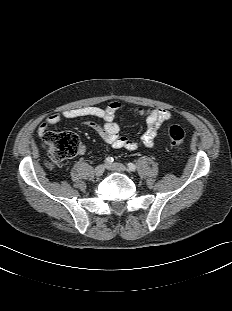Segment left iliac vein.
<instances>
[{
	"label": "left iliac vein",
	"mask_w": 232,
	"mask_h": 311,
	"mask_svg": "<svg viewBox=\"0 0 232 311\" xmlns=\"http://www.w3.org/2000/svg\"><path fill=\"white\" fill-rule=\"evenodd\" d=\"M107 169L115 172H124L127 170L126 166L121 163H113L110 165H107Z\"/></svg>",
	"instance_id": "4c4485c4"
}]
</instances>
